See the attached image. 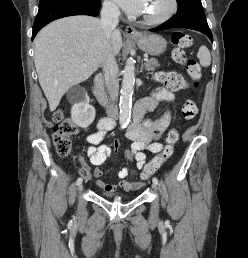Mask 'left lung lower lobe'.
Masks as SVG:
<instances>
[{
    "label": "left lung lower lobe",
    "mask_w": 248,
    "mask_h": 258,
    "mask_svg": "<svg viewBox=\"0 0 248 258\" xmlns=\"http://www.w3.org/2000/svg\"><path fill=\"white\" fill-rule=\"evenodd\" d=\"M175 27L197 30L205 34L213 42L212 33L203 10H196L188 14H176L162 25L150 31H162Z\"/></svg>",
    "instance_id": "0a47b994"
}]
</instances>
